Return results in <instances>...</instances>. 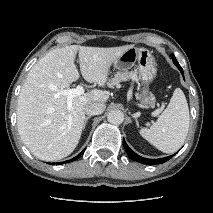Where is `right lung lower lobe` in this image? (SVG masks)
Listing matches in <instances>:
<instances>
[{"mask_svg": "<svg viewBox=\"0 0 213 213\" xmlns=\"http://www.w3.org/2000/svg\"><path fill=\"white\" fill-rule=\"evenodd\" d=\"M83 153H84V150L79 155H77L76 157H74V158H72L68 161H65L64 163H68V162H72V161L77 160ZM52 164H55V163H52ZM59 164H63V162L56 163V165H59Z\"/></svg>", "mask_w": 213, "mask_h": 213, "instance_id": "right-lung-lower-lobe-1", "label": "right lung lower lobe"}]
</instances>
